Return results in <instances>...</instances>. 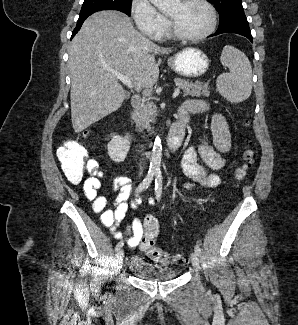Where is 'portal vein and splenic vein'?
<instances>
[{
    "mask_svg": "<svg viewBox=\"0 0 298 325\" xmlns=\"http://www.w3.org/2000/svg\"><path fill=\"white\" fill-rule=\"evenodd\" d=\"M115 76H117V78H119V80H121V82H123V84H126V86H129V88H133V84H132V80H130L129 76H124V74H119V72H114ZM179 92H181V88H175L173 94H172V98H176V96H178Z\"/></svg>",
    "mask_w": 298,
    "mask_h": 325,
    "instance_id": "obj_1",
    "label": "portal vein and splenic vein"
}]
</instances>
